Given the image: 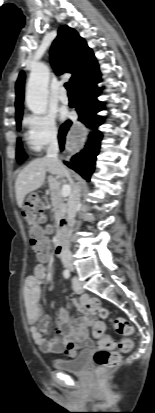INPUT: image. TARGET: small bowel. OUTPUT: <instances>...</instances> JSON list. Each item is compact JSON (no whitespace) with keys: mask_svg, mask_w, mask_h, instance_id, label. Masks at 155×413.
I'll use <instances>...</instances> for the list:
<instances>
[{"mask_svg":"<svg viewBox=\"0 0 155 413\" xmlns=\"http://www.w3.org/2000/svg\"><path fill=\"white\" fill-rule=\"evenodd\" d=\"M50 259V252L44 259H40V264L36 265L33 274L25 279L26 295L24 306L28 323L30 324V332L37 347L48 354H66L70 357L77 354L80 349L89 348L93 345L92 340L88 336V328L93 329V335H97V329L100 328L104 333L105 324L103 321L93 319L87 312L86 306L89 301L87 295H82L78 299L73 300V305L81 313L78 318L69 320L70 310L61 309L57 317V325L55 327V335L48 338L51 319L43 315L40 301L42 298L43 280L46 277V268L44 263ZM105 335V334H104ZM111 341V347L114 341L107 336Z\"/></svg>","mask_w":155,"mask_h":413,"instance_id":"c3829d8e","label":"small bowel"}]
</instances>
